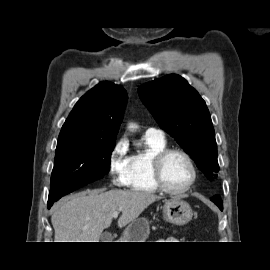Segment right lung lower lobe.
<instances>
[{"label": "right lung lower lobe", "instance_id": "1", "mask_svg": "<svg viewBox=\"0 0 270 270\" xmlns=\"http://www.w3.org/2000/svg\"><path fill=\"white\" fill-rule=\"evenodd\" d=\"M53 202H55V200H48L47 207L50 208L53 205Z\"/></svg>", "mask_w": 270, "mask_h": 270}]
</instances>
